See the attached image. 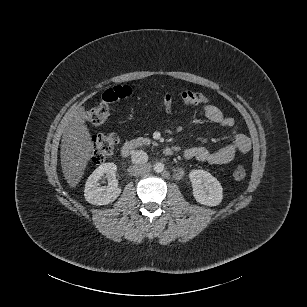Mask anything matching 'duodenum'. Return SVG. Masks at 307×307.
Segmentation results:
<instances>
[{"mask_svg":"<svg viewBox=\"0 0 307 307\" xmlns=\"http://www.w3.org/2000/svg\"><path fill=\"white\" fill-rule=\"evenodd\" d=\"M144 147V143L139 139H132L126 141L121 147V155L128 157L134 150ZM175 149L169 146L163 148V154L166 156H173Z\"/></svg>","mask_w":307,"mask_h":307,"instance_id":"obj_1","label":"duodenum"}]
</instances>
